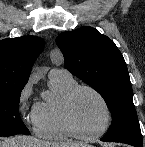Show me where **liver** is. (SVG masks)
<instances>
[{"mask_svg":"<svg viewBox=\"0 0 145 147\" xmlns=\"http://www.w3.org/2000/svg\"><path fill=\"white\" fill-rule=\"evenodd\" d=\"M0 147H91L75 142H48L30 136H15L0 142Z\"/></svg>","mask_w":145,"mask_h":147,"instance_id":"obj_1","label":"liver"}]
</instances>
